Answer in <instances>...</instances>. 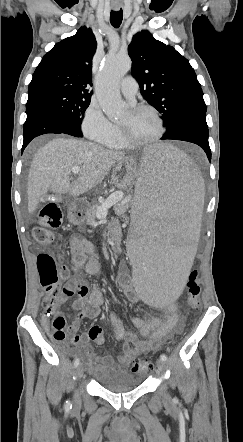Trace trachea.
<instances>
[{
  "label": "trachea",
  "instance_id": "1",
  "mask_svg": "<svg viewBox=\"0 0 243 442\" xmlns=\"http://www.w3.org/2000/svg\"><path fill=\"white\" fill-rule=\"evenodd\" d=\"M123 19V11L120 9L119 11H111L110 14V22L114 28H118Z\"/></svg>",
  "mask_w": 243,
  "mask_h": 442
}]
</instances>
